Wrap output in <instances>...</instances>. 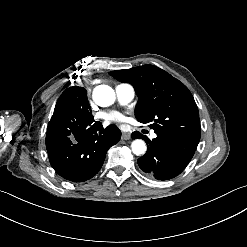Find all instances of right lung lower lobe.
<instances>
[{
    "label": "right lung lower lobe",
    "mask_w": 247,
    "mask_h": 247,
    "mask_svg": "<svg viewBox=\"0 0 247 247\" xmlns=\"http://www.w3.org/2000/svg\"><path fill=\"white\" fill-rule=\"evenodd\" d=\"M61 115L67 119L63 134L46 136L50 164L66 180H89L99 172L107 150L118 143L121 132L115 125L103 129L91 114L66 111Z\"/></svg>",
    "instance_id": "right-lung-lower-lobe-1"
}]
</instances>
